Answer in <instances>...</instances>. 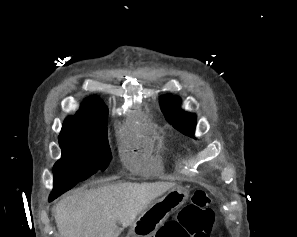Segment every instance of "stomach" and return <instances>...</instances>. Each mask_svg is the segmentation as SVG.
Returning <instances> with one entry per match:
<instances>
[{
  "label": "stomach",
  "instance_id": "obj_1",
  "mask_svg": "<svg viewBox=\"0 0 297 237\" xmlns=\"http://www.w3.org/2000/svg\"><path fill=\"white\" fill-rule=\"evenodd\" d=\"M188 198L182 187H173L164 196L151 203L131 224L127 237H152L171 212L181 207Z\"/></svg>",
  "mask_w": 297,
  "mask_h": 237
}]
</instances>
